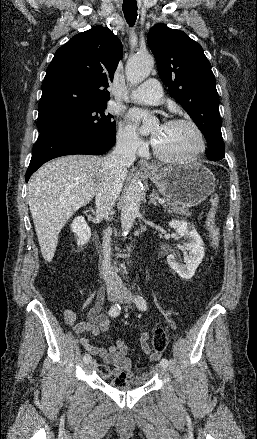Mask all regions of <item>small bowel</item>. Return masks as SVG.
I'll return each mask as SVG.
<instances>
[{
  "label": "small bowel",
  "mask_w": 257,
  "mask_h": 439,
  "mask_svg": "<svg viewBox=\"0 0 257 439\" xmlns=\"http://www.w3.org/2000/svg\"><path fill=\"white\" fill-rule=\"evenodd\" d=\"M65 322L72 324L75 321V314L72 311H67L64 314ZM111 321L109 319L97 320L93 315H90L88 321L81 327L77 328L76 332L79 335L90 333L92 336H99L101 333L109 330ZM80 343L83 348L91 355L97 356L102 360V364L94 361V367L102 373L109 370L111 376L124 374L129 382L135 385H143L147 383L156 373V368L152 367L147 372L136 374L131 358L128 356L130 347L122 340H116L114 344L105 348L94 345L88 338L81 336ZM138 344L141 350L149 357L151 361H158L161 357L160 353L153 352L150 346V334L148 332H141L138 336ZM108 365H112V369H108Z\"/></svg>",
  "instance_id": "1"
}]
</instances>
